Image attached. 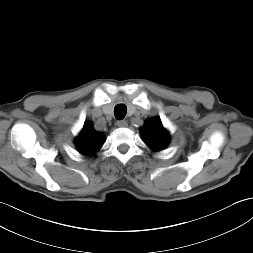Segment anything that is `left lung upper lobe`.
I'll return each instance as SVG.
<instances>
[{
  "label": "left lung upper lobe",
  "mask_w": 253,
  "mask_h": 253,
  "mask_svg": "<svg viewBox=\"0 0 253 253\" xmlns=\"http://www.w3.org/2000/svg\"><path fill=\"white\" fill-rule=\"evenodd\" d=\"M141 134L144 142L155 151L162 150L170 141L169 133L158 117L146 121L144 127L141 128Z\"/></svg>",
  "instance_id": "5c2ea615"
}]
</instances>
